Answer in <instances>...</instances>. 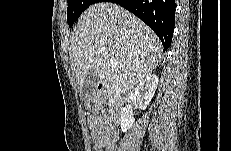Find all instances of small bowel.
I'll use <instances>...</instances> for the list:
<instances>
[{
  "label": "small bowel",
  "mask_w": 231,
  "mask_h": 151,
  "mask_svg": "<svg viewBox=\"0 0 231 151\" xmlns=\"http://www.w3.org/2000/svg\"><path fill=\"white\" fill-rule=\"evenodd\" d=\"M115 122L108 115H92L88 118L95 151H113L118 138Z\"/></svg>",
  "instance_id": "c3829d8e"
}]
</instances>
